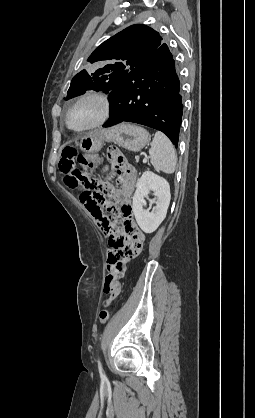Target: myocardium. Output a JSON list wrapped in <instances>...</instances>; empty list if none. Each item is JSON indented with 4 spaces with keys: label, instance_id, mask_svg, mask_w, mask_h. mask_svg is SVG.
<instances>
[{
    "label": "myocardium",
    "instance_id": "myocardium-1",
    "mask_svg": "<svg viewBox=\"0 0 255 418\" xmlns=\"http://www.w3.org/2000/svg\"><path fill=\"white\" fill-rule=\"evenodd\" d=\"M96 100L99 102L100 104V114L97 117V119L95 121H93L91 124L83 127V128H73L70 123H69V116L70 113L72 111V109L78 105L79 103L85 101V100ZM111 115V101L109 99V97L102 93V92H98V91H91V92H87L82 94L81 96H79L73 103H71V105L68 107L66 115H65V124L67 126L68 129L74 131V132H86L92 129H95L97 127L102 126L110 117Z\"/></svg>",
    "mask_w": 255,
    "mask_h": 418
}]
</instances>
